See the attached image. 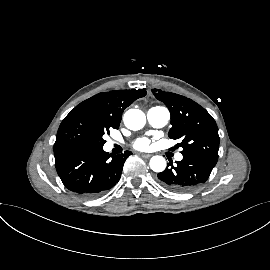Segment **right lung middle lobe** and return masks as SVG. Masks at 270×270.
<instances>
[{"label": "right lung middle lobe", "mask_w": 270, "mask_h": 270, "mask_svg": "<svg viewBox=\"0 0 270 270\" xmlns=\"http://www.w3.org/2000/svg\"><path fill=\"white\" fill-rule=\"evenodd\" d=\"M109 127L95 121L89 111L75 107L62 121L57 132L55 146L87 145L103 147L104 134H109Z\"/></svg>", "instance_id": "right-lung-middle-lobe-1"}]
</instances>
